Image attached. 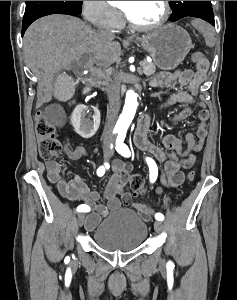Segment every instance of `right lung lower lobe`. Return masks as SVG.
Here are the masks:
<instances>
[{"label":"right lung lower lobe","instance_id":"98d812e1","mask_svg":"<svg viewBox=\"0 0 237 300\" xmlns=\"http://www.w3.org/2000/svg\"><path fill=\"white\" fill-rule=\"evenodd\" d=\"M53 14H67V15H72V16H78L80 15L79 12H74V11H61V12H56ZM50 15V14H49ZM35 21V20H34ZM33 21H29V22H23L22 24V36L24 34V32L26 31V29L28 28V26L32 23Z\"/></svg>","mask_w":237,"mask_h":300}]
</instances>
